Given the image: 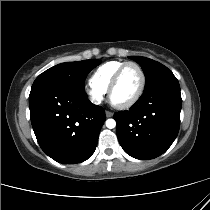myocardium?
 <instances>
[{"label": "myocardium", "mask_w": 210, "mask_h": 210, "mask_svg": "<svg viewBox=\"0 0 210 210\" xmlns=\"http://www.w3.org/2000/svg\"><path fill=\"white\" fill-rule=\"evenodd\" d=\"M127 66H135L139 70L140 75H141V83H140V86H139V89H138L137 93L130 100H128L124 103H115L112 100V94H113V91H114V89L116 88V86L119 82V79H120V76H121L123 70ZM145 87H146V74H145V71L142 68V66L140 64H138L137 62H134V61H127V62H124L114 73V75L112 77V80L109 84L108 90H107L108 99H109L110 103L112 104V106H114L115 108H117V109H128L139 101V99L142 97V95L144 93Z\"/></svg>", "instance_id": "1"}]
</instances>
